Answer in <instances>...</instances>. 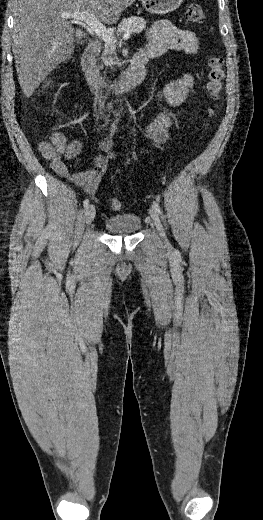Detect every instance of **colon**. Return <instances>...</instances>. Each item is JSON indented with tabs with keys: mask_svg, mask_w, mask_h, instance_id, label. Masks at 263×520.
Listing matches in <instances>:
<instances>
[{
	"mask_svg": "<svg viewBox=\"0 0 263 520\" xmlns=\"http://www.w3.org/2000/svg\"><path fill=\"white\" fill-rule=\"evenodd\" d=\"M185 19L190 24L201 25L205 23V14L200 4L191 3L188 5L185 13ZM224 61L220 56H211L207 61L208 68V80H207V90L209 95L214 101H218L220 99V95L223 88V80H224V69H223ZM49 82L45 84L48 86ZM41 153L45 158H52L55 155V148L53 144L43 143L41 145ZM113 210H121L123 207V203L118 198H113L110 202Z\"/></svg>",
	"mask_w": 263,
	"mask_h": 520,
	"instance_id": "colon-1",
	"label": "colon"
}]
</instances>
